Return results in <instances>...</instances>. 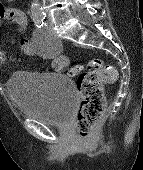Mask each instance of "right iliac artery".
<instances>
[{
    "label": "right iliac artery",
    "mask_w": 143,
    "mask_h": 170,
    "mask_svg": "<svg viewBox=\"0 0 143 170\" xmlns=\"http://www.w3.org/2000/svg\"><path fill=\"white\" fill-rule=\"evenodd\" d=\"M34 23L36 27L41 28L45 24V16L34 18Z\"/></svg>",
    "instance_id": "obj_1"
}]
</instances>
